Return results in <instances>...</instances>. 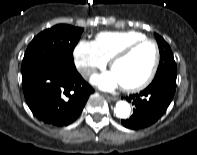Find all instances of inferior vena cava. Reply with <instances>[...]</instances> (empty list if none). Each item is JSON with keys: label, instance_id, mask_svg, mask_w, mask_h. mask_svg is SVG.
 <instances>
[{"label": "inferior vena cava", "instance_id": "inferior-vena-cava-1", "mask_svg": "<svg viewBox=\"0 0 197 155\" xmlns=\"http://www.w3.org/2000/svg\"><path fill=\"white\" fill-rule=\"evenodd\" d=\"M92 70L89 68H84L81 70V73L83 76H88L89 74H91Z\"/></svg>", "mask_w": 197, "mask_h": 155}]
</instances>
